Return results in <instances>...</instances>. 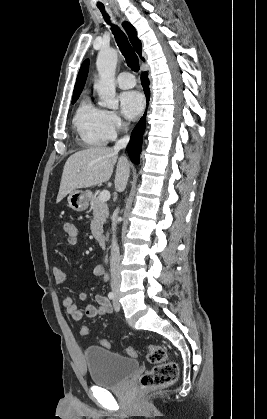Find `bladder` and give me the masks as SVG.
<instances>
[{
  "mask_svg": "<svg viewBox=\"0 0 267 419\" xmlns=\"http://www.w3.org/2000/svg\"><path fill=\"white\" fill-rule=\"evenodd\" d=\"M84 357L91 381L100 387L122 386L138 368L136 359L125 357L101 346H89Z\"/></svg>",
  "mask_w": 267,
  "mask_h": 419,
  "instance_id": "bladder-1",
  "label": "bladder"
}]
</instances>
